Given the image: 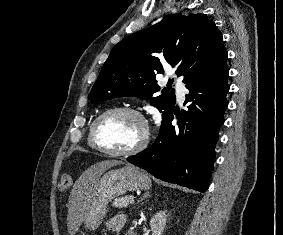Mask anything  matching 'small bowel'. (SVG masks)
<instances>
[{
	"mask_svg": "<svg viewBox=\"0 0 283 235\" xmlns=\"http://www.w3.org/2000/svg\"><path fill=\"white\" fill-rule=\"evenodd\" d=\"M125 221L126 218L124 215H116L108 221L107 227L111 232L118 235L119 232L122 230Z\"/></svg>",
	"mask_w": 283,
	"mask_h": 235,
	"instance_id": "1",
	"label": "small bowel"
}]
</instances>
